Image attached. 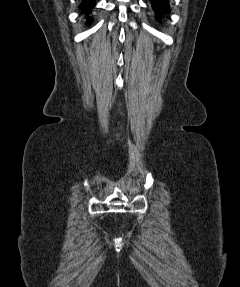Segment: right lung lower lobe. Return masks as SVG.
<instances>
[{
  "mask_svg": "<svg viewBox=\"0 0 240 287\" xmlns=\"http://www.w3.org/2000/svg\"><path fill=\"white\" fill-rule=\"evenodd\" d=\"M94 6V0H84L81 3V8L85 10V12H89V10ZM88 23H91V19H88Z\"/></svg>",
  "mask_w": 240,
  "mask_h": 287,
  "instance_id": "right-lung-lower-lobe-1",
  "label": "right lung lower lobe"
}]
</instances>
